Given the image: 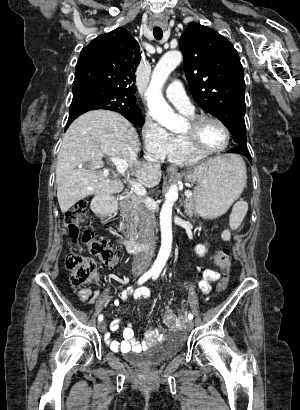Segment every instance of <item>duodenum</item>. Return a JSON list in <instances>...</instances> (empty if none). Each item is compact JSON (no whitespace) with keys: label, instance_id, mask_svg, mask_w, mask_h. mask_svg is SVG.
Returning a JSON list of instances; mask_svg holds the SVG:
<instances>
[{"label":"duodenum","instance_id":"obj_1","mask_svg":"<svg viewBox=\"0 0 300 410\" xmlns=\"http://www.w3.org/2000/svg\"><path fill=\"white\" fill-rule=\"evenodd\" d=\"M93 211L97 217L103 218L114 211V204L108 198H98L93 202ZM120 244L130 252H137L142 248V244L134 237L121 239Z\"/></svg>","mask_w":300,"mask_h":410}]
</instances>
